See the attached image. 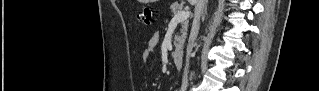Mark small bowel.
<instances>
[{"label": "small bowel", "instance_id": "1", "mask_svg": "<svg viewBox=\"0 0 319 91\" xmlns=\"http://www.w3.org/2000/svg\"><path fill=\"white\" fill-rule=\"evenodd\" d=\"M158 39L156 36H152L149 44H148V48L145 49L142 53V60L144 62H149L151 60V56H152V52L155 49L156 45H157Z\"/></svg>", "mask_w": 319, "mask_h": 91}]
</instances>
